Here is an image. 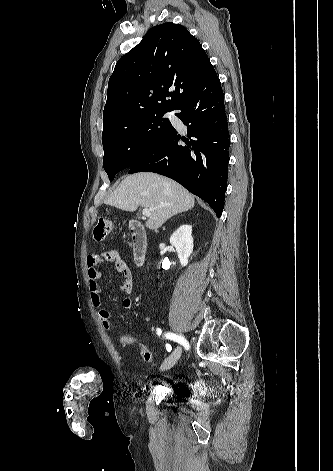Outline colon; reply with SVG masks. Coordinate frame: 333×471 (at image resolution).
Listing matches in <instances>:
<instances>
[{"instance_id":"obj_1","label":"colon","mask_w":333,"mask_h":471,"mask_svg":"<svg viewBox=\"0 0 333 471\" xmlns=\"http://www.w3.org/2000/svg\"><path fill=\"white\" fill-rule=\"evenodd\" d=\"M113 222L109 219H99L93 228V236L96 240H104L112 231ZM118 341L123 347H134L136 348L142 359L146 362H150L153 359L152 352L137 338L122 334L119 336Z\"/></svg>"}]
</instances>
